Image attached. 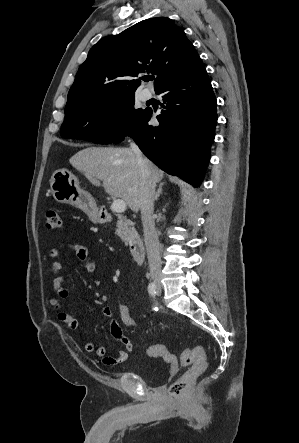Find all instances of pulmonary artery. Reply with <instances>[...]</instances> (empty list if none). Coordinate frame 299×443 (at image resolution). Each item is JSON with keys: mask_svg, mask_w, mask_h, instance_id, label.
<instances>
[{"mask_svg": "<svg viewBox=\"0 0 299 443\" xmlns=\"http://www.w3.org/2000/svg\"><path fill=\"white\" fill-rule=\"evenodd\" d=\"M150 97H151V94H150V92H148V91H143L142 94H141V99H142L143 101H147V100H149Z\"/></svg>", "mask_w": 299, "mask_h": 443, "instance_id": "1", "label": "pulmonary artery"}]
</instances>
